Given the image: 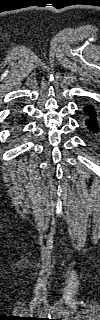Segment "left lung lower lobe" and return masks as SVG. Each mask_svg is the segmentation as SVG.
Segmentation results:
<instances>
[{
    "instance_id": "obj_1",
    "label": "left lung lower lobe",
    "mask_w": 100,
    "mask_h": 320,
    "mask_svg": "<svg viewBox=\"0 0 100 320\" xmlns=\"http://www.w3.org/2000/svg\"><path fill=\"white\" fill-rule=\"evenodd\" d=\"M84 113L87 117L85 120L87 130L91 135L95 136L99 133L100 129L96 119V111L94 110L93 106H85Z\"/></svg>"
}]
</instances>
